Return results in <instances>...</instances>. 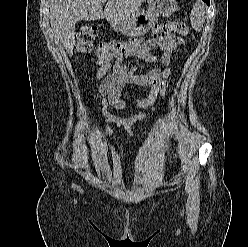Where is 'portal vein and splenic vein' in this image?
Instances as JSON below:
<instances>
[{
    "label": "portal vein and splenic vein",
    "mask_w": 248,
    "mask_h": 247,
    "mask_svg": "<svg viewBox=\"0 0 248 247\" xmlns=\"http://www.w3.org/2000/svg\"><path fill=\"white\" fill-rule=\"evenodd\" d=\"M102 2H106V0H102Z\"/></svg>",
    "instance_id": "1"
}]
</instances>
